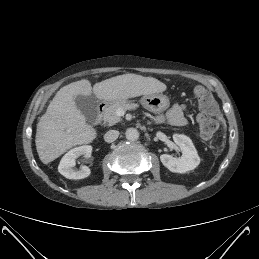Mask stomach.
<instances>
[{
	"label": "stomach",
	"instance_id": "stomach-1",
	"mask_svg": "<svg viewBox=\"0 0 259 259\" xmlns=\"http://www.w3.org/2000/svg\"><path fill=\"white\" fill-rule=\"evenodd\" d=\"M126 100L111 101L114 104L125 103ZM141 104L147 110L158 113L166 110L169 107V99L163 94H146L140 99Z\"/></svg>",
	"mask_w": 259,
	"mask_h": 259
}]
</instances>
